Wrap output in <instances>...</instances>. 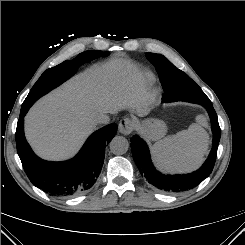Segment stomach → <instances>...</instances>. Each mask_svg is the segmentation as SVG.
<instances>
[{
    "label": "stomach",
    "mask_w": 245,
    "mask_h": 245,
    "mask_svg": "<svg viewBox=\"0 0 245 245\" xmlns=\"http://www.w3.org/2000/svg\"><path fill=\"white\" fill-rule=\"evenodd\" d=\"M144 137L151 141L161 139L167 132L166 124L162 120L148 119L140 124Z\"/></svg>",
    "instance_id": "1"
}]
</instances>
